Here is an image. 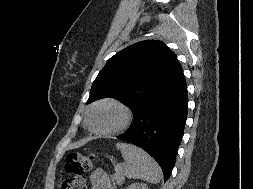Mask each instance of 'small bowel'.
<instances>
[{
  "mask_svg": "<svg viewBox=\"0 0 253 189\" xmlns=\"http://www.w3.org/2000/svg\"><path fill=\"white\" fill-rule=\"evenodd\" d=\"M89 180L90 189H115L109 176L102 169L94 170Z\"/></svg>",
  "mask_w": 253,
  "mask_h": 189,
  "instance_id": "c3829d8e",
  "label": "small bowel"
}]
</instances>
